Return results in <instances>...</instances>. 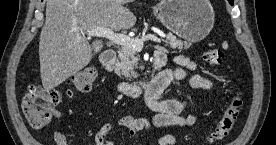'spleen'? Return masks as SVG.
Masks as SVG:
<instances>
[{
  "label": "spleen",
  "mask_w": 276,
  "mask_h": 145,
  "mask_svg": "<svg viewBox=\"0 0 276 145\" xmlns=\"http://www.w3.org/2000/svg\"><path fill=\"white\" fill-rule=\"evenodd\" d=\"M222 47H223L224 49H227V47H228L227 42H224V43L222 44Z\"/></svg>",
  "instance_id": "obj_1"
}]
</instances>
